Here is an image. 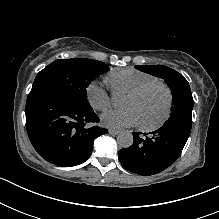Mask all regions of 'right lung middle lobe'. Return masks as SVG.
Segmentation results:
<instances>
[{
    "mask_svg": "<svg viewBox=\"0 0 219 219\" xmlns=\"http://www.w3.org/2000/svg\"><path fill=\"white\" fill-rule=\"evenodd\" d=\"M108 70V65L96 60L59 59L37 74L31 92H55L70 98L80 106L91 107L86 97V88Z\"/></svg>",
    "mask_w": 219,
    "mask_h": 219,
    "instance_id": "1",
    "label": "right lung middle lobe"
}]
</instances>
